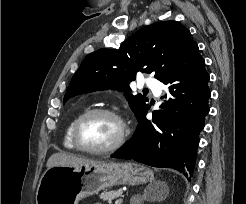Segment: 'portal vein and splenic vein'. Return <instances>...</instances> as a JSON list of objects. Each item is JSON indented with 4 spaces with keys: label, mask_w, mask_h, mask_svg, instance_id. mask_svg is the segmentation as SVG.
I'll use <instances>...</instances> for the list:
<instances>
[{
    "label": "portal vein and splenic vein",
    "mask_w": 246,
    "mask_h": 204,
    "mask_svg": "<svg viewBox=\"0 0 246 204\" xmlns=\"http://www.w3.org/2000/svg\"><path fill=\"white\" fill-rule=\"evenodd\" d=\"M123 202V199H118L115 201V204H121Z\"/></svg>",
    "instance_id": "18ae733b"
}]
</instances>
